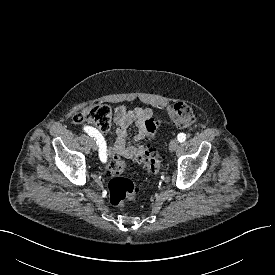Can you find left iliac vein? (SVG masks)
<instances>
[{"instance_id": "obj_1", "label": "left iliac vein", "mask_w": 275, "mask_h": 275, "mask_svg": "<svg viewBox=\"0 0 275 275\" xmlns=\"http://www.w3.org/2000/svg\"><path fill=\"white\" fill-rule=\"evenodd\" d=\"M178 146H179L178 140L173 139V140H171V142L169 144V149H170V151H176Z\"/></svg>"}]
</instances>
